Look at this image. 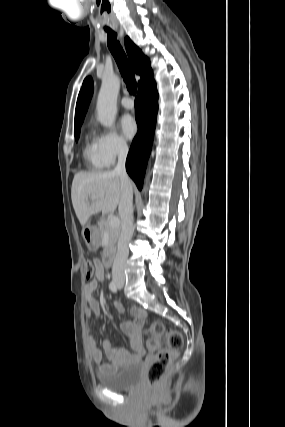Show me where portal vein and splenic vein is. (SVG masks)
Returning a JSON list of instances; mask_svg holds the SVG:
<instances>
[{"mask_svg":"<svg viewBox=\"0 0 285 427\" xmlns=\"http://www.w3.org/2000/svg\"><path fill=\"white\" fill-rule=\"evenodd\" d=\"M95 199H97V197H96V196H92V197L90 198V200H95ZM108 223H109V226H110V227H117V226L120 224V221H119V218H118V217H116V216H112V217H110V218L108 219Z\"/></svg>","mask_w":285,"mask_h":427,"instance_id":"18ae733b","label":"portal vein and splenic vein"}]
</instances>
